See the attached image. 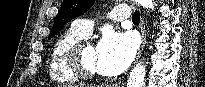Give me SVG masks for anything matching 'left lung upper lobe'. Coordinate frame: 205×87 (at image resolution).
Returning a JSON list of instances; mask_svg holds the SVG:
<instances>
[{"mask_svg": "<svg viewBox=\"0 0 205 87\" xmlns=\"http://www.w3.org/2000/svg\"><path fill=\"white\" fill-rule=\"evenodd\" d=\"M94 1L95 0H63L48 39H51L57 34L70 20L88 11Z\"/></svg>", "mask_w": 205, "mask_h": 87, "instance_id": "obj_1", "label": "left lung upper lobe"}]
</instances>
